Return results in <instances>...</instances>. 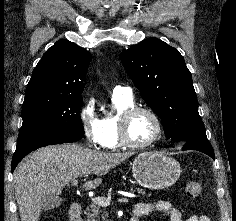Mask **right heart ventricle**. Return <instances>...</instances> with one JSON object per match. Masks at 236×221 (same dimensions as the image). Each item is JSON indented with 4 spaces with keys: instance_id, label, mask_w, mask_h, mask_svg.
<instances>
[{
    "instance_id": "right-heart-ventricle-1",
    "label": "right heart ventricle",
    "mask_w": 236,
    "mask_h": 221,
    "mask_svg": "<svg viewBox=\"0 0 236 221\" xmlns=\"http://www.w3.org/2000/svg\"><path fill=\"white\" fill-rule=\"evenodd\" d=\"M112 102L116 110L115 113H107L101 119L103 130V147L107 149H118L123 145L118 135V119L123 110L134 105L133 98L112 97Z\"/></svg>"
}]
</instances>
